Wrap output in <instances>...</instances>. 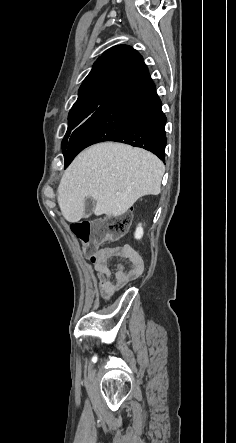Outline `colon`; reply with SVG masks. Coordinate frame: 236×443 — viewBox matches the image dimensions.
Wrapping results in <instances>:
<instances>
[{
  "mask_svg": "<svg viewBox=\"0 0 236 443\" xmlns=\"http://www.w3.org/2000/svg\"><path fill=\"white\" fill-rule=\"evenodd\" d=\"M130 215H122L107 220L90 222L80 220L72 224L71 229L76 238L84 244L85 253L94 258L101 245L121 239L129 230Z\"/></svg>",
  "mask_w": 236,
  "mask_h": 443,
  "instance_id": "obj_1",
  "label": "colon"
}]
</instances>
